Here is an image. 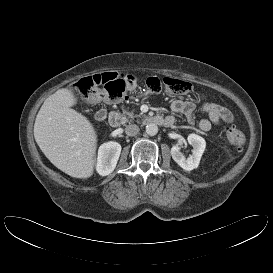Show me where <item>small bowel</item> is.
Instances as JSON below:
<instances>
[{
  "instance_id": "c3829d8e",
  "label": "small bowel",
  "mask_w": 273,
  "mask_h": 273,
  "mask_svg": "<svg viewBox=\"0 0 273 273\" xmlns=\"http://www.w3.org/2000/svg\"><path fill=\"white\" fill-rule=\"evenodd\" d=\"M198 100L199 105L197 106L192 101L176 99L172 101L170 109L173 113L185 115L190 124L194 123L196 110L207 114L208 118L201 119L198 124L199 129L203 132L210 131L212 126L218 125L221 122L231 123L233 121V115L227 108L206 100L202 94H198ZM166 118L172 120L173 123L175 122L173 115Z\"/></svg>"
}]
</instances>
